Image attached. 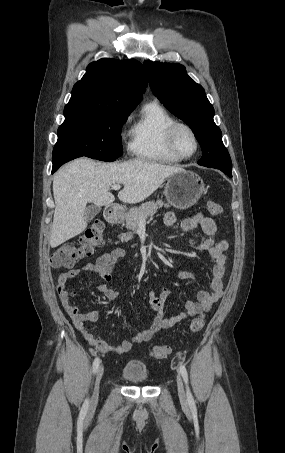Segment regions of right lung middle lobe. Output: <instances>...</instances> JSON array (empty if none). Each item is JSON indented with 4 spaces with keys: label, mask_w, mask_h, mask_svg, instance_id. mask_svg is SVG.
I'll return each mask as SVG.
<instances>
[{
    "label": "right lung middle lobe",
    "mask_w": 285,
    "mask_h": 453,
    "mask_svg": "<svg viewBox=\"0 0 285 453\" xmlns=\"http://www.w3.org/2000/svg\"><path fill=\"white\" fill-rule=\"evenodd\" d=\"M130 112L106 106L67 104L56 145L75 150L78 157L114 161L122 155L121 127Z\"/></svg>",
    "instance_id": "obj_1"
}]
</instances>
